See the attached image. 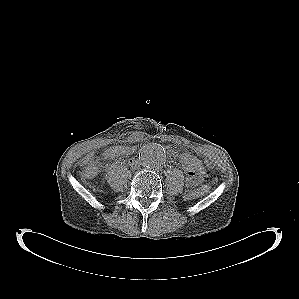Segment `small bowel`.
<instances>
[{"mask_svg":"<svg viewBox=\"0 0 299 299\" xmlns=\"http://www.w3.org/2000/svg\"><path fill=\"white\" fill-rule=\"evenodd\" d=\"M134 151H135L134 147L118 145V146H112L108 148L104 152V156L108 159H113L120 156L131 154ZM185 171H186L187 185L190 187H194L198 185L204 176V170L200 172H195L190 169H185Z\"/></svg>","mask_w":299,"mask_h":299,"instance_id":"c3829d8e","label":"small bowel"}]
</instances>
